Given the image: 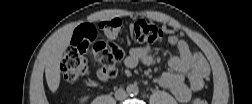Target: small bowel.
I'll use <instances>...</instances> for the list:
<instances>
[{
	"label": "small bowel",
	"instance_id": "small-bowel-1",
	"mask_svg": "<svg viewBox=\"0 0 252 104\" xmlns=\"http://www.w3.org/2000/svg\"><path fill=\"white\" fill-rule=\"evenodd\" d=\"M167 43L175 47L177 53L169 58L168 65L171 71L159 75L154 79V83L169 89L178 101L187 102L192 93L200 90L208 80L210 68L200 53L191 51L188 44L176 35H170ZM96 59L98 60L97 56ZM93 63L95 64L94 61ZM123 63L127 68H134L139 63L151 65L153 63L151 47L145 45L132 48L124 57ZM96 77L103 83L110 80L102 65L98 67Z\"/></svg>",
	"mask_w": 252,
	"mask_h": 104
}]
</instances>
